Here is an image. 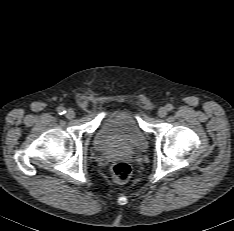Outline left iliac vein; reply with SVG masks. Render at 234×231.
I'll return each mask as SVG.
<instances>
[{
    "instance_id": "obj_1",
    "label": "left iliac vein",
    "mask_w": 234,
    "mask_h": 231,
    "mask_svg": "<svg viewBox=\"0 0 234 231\" xmlns=\"http://www.w3.org/2000/svg\"><path fill=\"white\" fill-rule=\"evenodd\" d=\"M158 115L160 118H164L167 115V109L165 107H161L158 111Z\"/></svg>"
}]
</instances>
